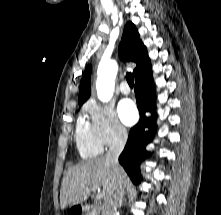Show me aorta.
<instances>
[{"label": "aorta", "instance_id": "obj_1", "mask_svg": "<svg viewBox=\"0 0 221 215\" xmlns=\"http://www.w3.org/2000/svg\"><path fill=\"white\" fill-rule=\"evenodd\" d=\"M118 64L115 60H101L97 70L96 90L99 100L108 102L114 92Z\"/></svg>", "mask_w": 221, "mask_h": 215}]
</instances>
